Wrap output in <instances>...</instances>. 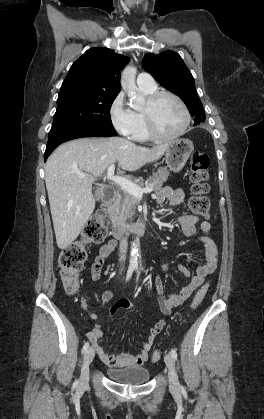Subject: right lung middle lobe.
Returning <instances> with one entry per match:
<instances>
[{
  "mask_svg": "<svg viewBox=\"0 0 264 419\" xmlns=\"http://www.w3.org/2000/svg\"><path fill=\"white\" fill-rule=\"evenodd\" d=\"M117 95L94 91L81 85L61 87L48 142L82 128L115 131L110 108Z\"/></svg>",
  "mask_w": 264,
  "mask_h": 419,
  "instance_id": "obj_1",
  "label": "right lung middle lobe"
}]
</instances>
